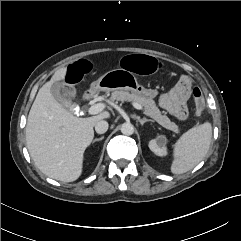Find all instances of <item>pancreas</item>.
<instances>
[{"mask_svg":"<svg viewBox=\"0 0 241 241\" xmlns=\"http://www.w3.org/2000/svg\"><path fill=\"white\" fill-rule=\"evenodd\" d=\"M111 99L113 101H128L132 103H138L144 108V113L159 123L162 127L175 133H179L178 126L174 122H171L166 115L162 114L152 98L130 93L127 90H117L112 93Z\"/></svg>","mask_w":241,"mask_h":241,"instance_id":"1","label":"pancreas"}]
</instances>
